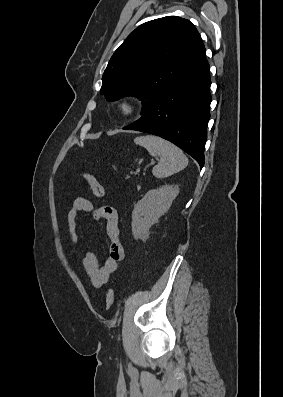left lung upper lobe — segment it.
<instances>
[{
	"label": "left lung upper lobe",
	"mask_w": 283,
	"mask_h": 397,
	"mask_svg": "<svg viewBox=\"0 0 283 397\" xmlns=\"http://www.w3.org/2000/svg\"><path fill=\"white\" fill-rule=\"evenodd\" d=\"M206 60L200 34L189 20L177 16L155 19L137 27L114 52L100 91L108 101L137 96L143 114Z\"/></svg>",
	"instance_id": "left-lung-upper-lobe-1"
}]
</instances>
